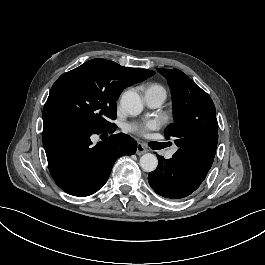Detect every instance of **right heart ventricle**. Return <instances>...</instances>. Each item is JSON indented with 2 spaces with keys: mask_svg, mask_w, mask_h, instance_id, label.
<instances>
[{
  "mask_svg": "<svg viewBox=\"0 0 265 265\" xmlns=\"http://www.w3.org/2000/svg\"><path fill=\"white\" fill-rule=\"evenodd\" d=\"M151 88H156L161 92V94H162L161 102H163L166 99L167 91L163 85H161L159 83L151 82L147 85L146 90H145V94H147L148 90Z\"/></svg>",
  "mask_w": 265,
  "mask_h": 265,
  "instance_id": "1",
  "label": "right heart ventricle"
}]
</instances>
